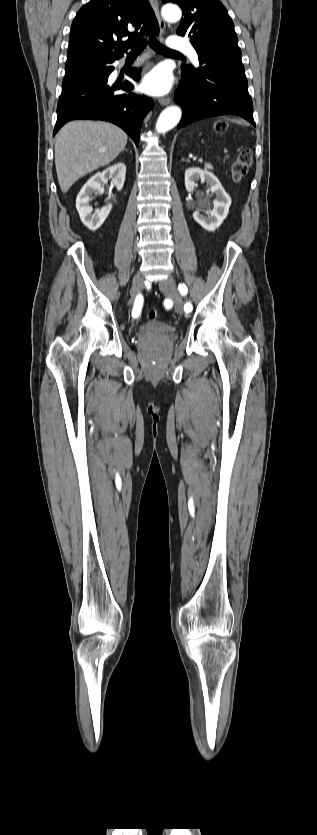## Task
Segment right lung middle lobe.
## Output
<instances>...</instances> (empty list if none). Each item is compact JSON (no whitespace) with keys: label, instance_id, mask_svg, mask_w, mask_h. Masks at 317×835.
I'll use <instances>...</instances> for the list:
<instances>
[{"label":"right lung middle lobe","instance_id":"obj_1","mask_svg":"<svg viewBox=\"0 0 317 835\" xmlns=\"http://www.w3.org/2000/svg\"><path fill=\"white\" fill-rule=\"evenodd\" d=\"M104 66L105 63L100 59L90 63L89 65H85L81 69L72 73H66L62 86L64 87L79 82L95 80L101 76Z\"/></svg>","mask_w":317,"mask_h":835}]
</instances>
